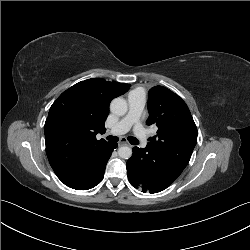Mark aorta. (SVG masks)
<instances>
[{"mask_svg": "<svg viewBox=\"0 0 250 250\" xmlns=\"http://www.w3.org/2000/svg\"><path fill=\"white\" fill-rule=\"evenodd\" d=\"M110 110L112 113L119 116L126 114L128 110L126 100L121 97L113 99L110 104ZM118 155L122 159H129L132 156V149L128 146H122L118 149Z\"/></svg>", "mask_w": 250, "mask_h": 250, "instance_id": "aorta-1", "label": "aorta"}]
</instances>
